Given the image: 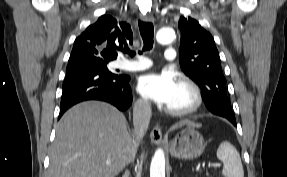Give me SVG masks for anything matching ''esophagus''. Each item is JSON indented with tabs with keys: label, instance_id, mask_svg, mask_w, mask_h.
Returning <instances> with one entry per match:
<instances>
[{
	"label": "esophagus",
	"instance_id": "34e87169",
	"mask_svg": "<svg viewBox=\"0 0 287 177\" xmlns=\"http://www.w3.org/2000/svg\"><path fill=\"white\" fill-rule=\"evenodd\" d=\"M143 20L145 22H154V17L151 15V14H146L144 16H142ZM150 138H151V141L153 143H156V144H160L163 142V138H162V132H161V129L158 125H156L151 133H150Z\"/></svg>",
	"mask_w": 287,
	"mask_h": 177
}]
</instances>
